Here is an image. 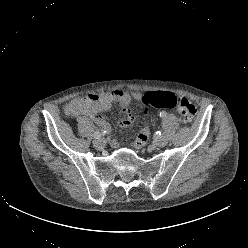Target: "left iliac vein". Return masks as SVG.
Instances as JSON below:
<instances>
[{"label": "left iliac vein", "mask_w": 248, "mask_h": 248, "mask_svg": "<svg viewBox=\"0 0 248 248\" xmlns=\"http://www.w3.org/2000/svg\"><path fill=\"white\" fill-rule=\"evenodd\" d=\"M156 143L159 147H164L168 143V139L165 135L159 136L156 140Z\"/></svg>", "instance_id": "obj_1"}]
</instances>
